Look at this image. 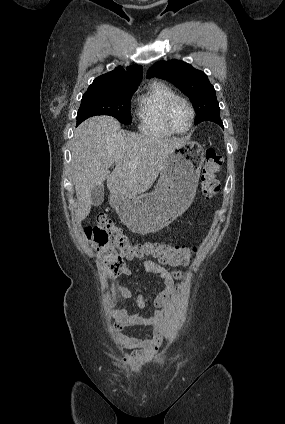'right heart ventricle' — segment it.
Listing matches in <instances>:
<instances>
[{
    "instance_id": "right-heart-ventricle-1",
    "label": "right heart ventricle",
    "mask_w": 285,
    "mask_h": 424,
    "mask_svg": "<svg viewBox=\"0 0 285 424\" xmlns=\"http://www.w3.org/2000/svg\"><path fill=\"white\" fill-rule=\"evenodd\" d=\"M177 96L172 88L156 82L137 98L136 116L139 129L156 137H171L172 133L164 123V109L167 103Z\"/></svg>"
}]
</instances>
